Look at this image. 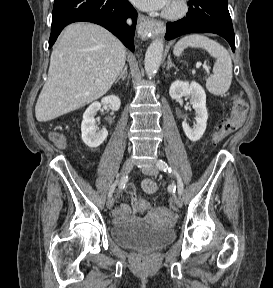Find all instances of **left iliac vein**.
Returning <instances> with one entry per match:
<instances>
[{"instance_id": "4c4485c4", "label": "left iliac vein", "mask_w": 273, "mask_h": 288, "mask_svg": "<svg viewBox=\"0 0 273 288\" xmlns=\"http://www.w3.org/2000/svg\"><path fill=\"white\" fill-rule=\"evenodd\" d=\"M141 171L144 174H147L149 176H157L158 175V168L155 165H150L147 167H142ZM183 201L182 198L180 196H176L175 197V205L180 208L182 207Z\"/></svg>"}]
</instances>
